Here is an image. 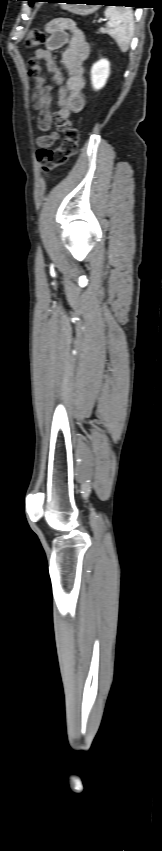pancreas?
Masks as SVG:
<instances>
[{
	"instance_id": "pancreas-1",
	"label": "pancreas",
	"mask_w": 162,
	"mask_h": 851,
	"mask_svg": "<svg viewBox=\"0 0 162 851\" xmlns=\"http://www.w3.org/2000/svg\"><path fill=\"white\" fill-rule=\"evenodd\" d=\"M99 32H102V33H104V32H105V29H103V28H100V30H99Z\"/></svg>"
}]
</instances>
